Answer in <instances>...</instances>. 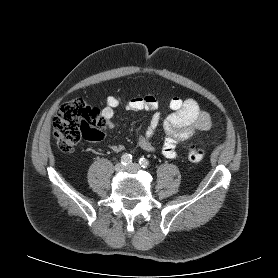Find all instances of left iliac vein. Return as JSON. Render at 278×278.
I'll return each mask as SVG.
<instances>
[{"label": "left iliac vein", "mask_w": 278, "mask_h": 278, "mask_svg": "<svg viewBox=\"0 0 278 278\" xmlns=\"http://www.w3.org/2000/svg\"><path fill=\"white\" fill-rule=\"evenodd\" d=\"M129 172L136 173L140 170V166L136 163H132L126 168Z\"/></svg>", "instance_id": "4c4485c4"}]
</instances>
